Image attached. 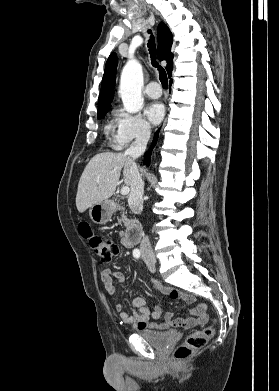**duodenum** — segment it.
<instances>
[{
    "mask_svg": "<svg viewBox=\"0 0 279 391\" xmlns=\"http://www.w3.org/2000/svg\"><path fill=\"white\" fill-rule=\"evenodd\" d=\"M114 206V204H112ZM142 236V226L138 221H132L128 227L126 241L130 247L139 243Z\"/></svg>",
    "mask_w": 279,
    "mask_h": 391,
    "instance_id": "duodenum-1",
    "label": "duodenum"
}]
</instances>
